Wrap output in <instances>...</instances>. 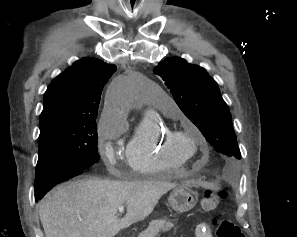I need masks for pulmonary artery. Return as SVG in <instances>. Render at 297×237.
<instances>
[{
    "mask_svg": "<svg viewBox=\"0 0 297 237\" xmlns=\"http://www.w3.org/2000/svg\"><path fill=\"white\" fill-rule=\"evenodd\" d=\"M159 105L161 107H166L171 111H175L176 110V105L175 102L168 96H163L160 100H159Z\"/></svg>",
    "mask_w": 297,
    "mask_h": 237,
    "instance_id": "1",
    "label": "pulmonary artery"
}]
</instances>
